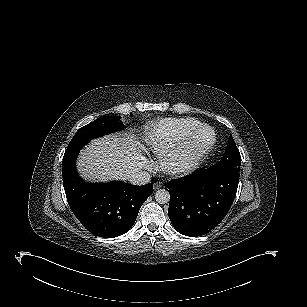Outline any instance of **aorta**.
<instances>
[{"label":"aorta","mask_w":307,"mask_h":307,"mask_svg":"<svg viewBox=\"0 0 307 307\" xmlns=\"http://www.w3.org/2000/svg\"><path fill=\"white\" fill-rule=\"evenodd\" d=\"M155 200L159 204H167L170 201V194L165 189H160L155 193Z\"/></svg>","instance_id":"1"}]
</instances>
